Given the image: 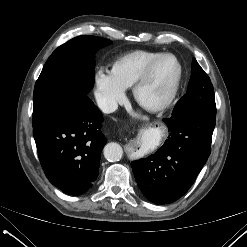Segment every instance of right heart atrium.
<instances>
[{
  "mask_svg": "<svg viewBox=\"0 0 247 247\" xmlns=\"http://www.w3.org/2000/svg\"><path fill=\"white\" fill-rule=\"evenodd\" d=\"M95 98L98 106L106 113L114 112L125 100L123 88L111 74L104 69L95 73Z\"/></svg>",
  "mask_w": 247,
  "mask_h": 247,
  "instance_id": "d8ad5b80",
  "label": "right heart atrium"
}]
</instances>
